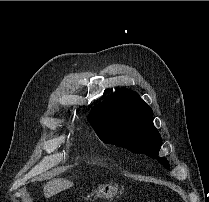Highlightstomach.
<instances>
[{"mask_svg":"<svg viewBox=\"0 0 209 202\" xmlns=\"http://www.w3.org/2000/svg\"><path fill=\"white\" fill-rule=\"evenodd\" d=\"M121 191L122 190L116 184H102L98 186L91 195L94 196V198L109 200L118 193H121Z\"/></svg>","mask_w":209,"mask_h":202,"instance_id":"stomach-1","label":"stomach"}]
</instances>
